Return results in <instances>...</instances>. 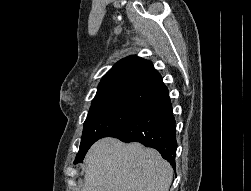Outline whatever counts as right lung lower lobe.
<instances>
[{
	"instance_id": "obj_1",
	"label": "right lung lower lobe",
	"mask_w": 251,
	"mask_h": 191,
	"mask_svg": "<svg viewBox=\"0 0 251 191\" xmlns=\"http://www.w3.org/2000/svg\"><path fill=\"white\" fill-rule=\"evenodd\" d=\"M175 136V118L167 92L107 137L118 138L126 143L140 142L146 147L154 148L175 168Z\"/></svg>"
}]
</instances>
